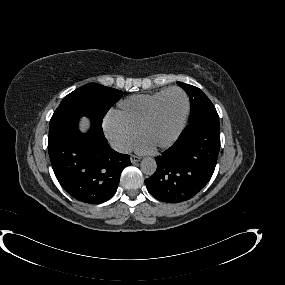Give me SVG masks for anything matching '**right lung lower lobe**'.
<instances>
[{
  "label": "right lung lower lobe",
  "mask_w": 285,
  "mask_h": 285,
  "mask_svg": "<svg viewBox=\"0 0 285 285\" xmlns=\"http://www.w3.org/2000/svg\"><path fill=\"white\" fill-rule=\"evenodd\" d=\"M49 156L61 186L76 200L99 204L117 191L130 156L120 154L107 143L102 124L92 122L88 134L78 129V118L64 120L48 136Z\"/></svg>",
  "instance_id": "obj_1"
}]
</instances>
